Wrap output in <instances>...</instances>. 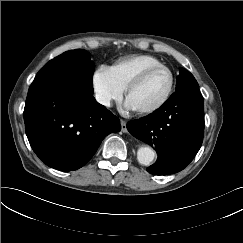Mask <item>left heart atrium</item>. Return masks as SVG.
<instances>
[{
	"label": "left heart atrium",
	"instance_id": "39dd6f15",
	"mask_svg": "<svg viewBox=\"0 0 243 243\" xmlns=\"http://www.w3.org/2000/svg\"><path fill=\"white\" fill-rule=\"evenodd\" d=\"M124 108H125L126 110H128V111L134 110V108L132 107V105H131L128 101H126V102L124 103Z\"/></svg>",
	"mask_w": 243,
	"mask_h": 243
}]
</instances>
